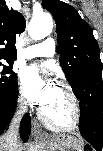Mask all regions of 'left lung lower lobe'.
<instances>
[{"label":"left lung lower lobe","instance_id":"0a47b994","mask_svg":"<svg viewBox=\"0 0 103 151\" xmlns=\"http://www.w3.org/2000/svg\"><path fill=\"white\" fill-rule=\"evenodd\" d=\"M72 89L80 100V133L96 151H101L103 142L102 68H90L87 75L78 80Z\"/></svg>","mask_w":103,"mask_h":151}]
</instances>
